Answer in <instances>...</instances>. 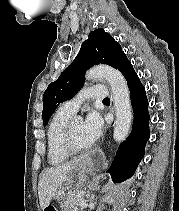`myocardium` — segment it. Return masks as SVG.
<instances>
[{"instance_id":"obj_1","label":"myocardium","mask_w":179,"mask_h":211,"mask_svg":"<svg viewBox=\"0 0 179 211\" xmlns=\"http://www.w3.org/2000/svg\"><path fill=\"white\" fill-rule=\"evenodd\" d=\"M75 120H70L65 128L64 131V136H63V145L64 148L68 153L71 155L74 154H81L88 152L92 149L93 145H87V146H79L74 138V133H73V124Z\"/></svg>"}]
</instances>
